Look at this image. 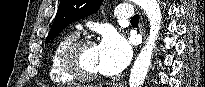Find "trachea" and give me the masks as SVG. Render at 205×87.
<instances>
[{"instance_id":"1","label":"trachea","mask_w":205,"mask_h":87,"mask_svg":"<svg viewBox=\"0 0 205 87\" xmlns=\"http://www.w3.org/2000/svg\"><path fill=\"white\" fill-rule=\"evenodd\" d=\"M131 22H139V15L136 14L135 16H133V18H131Z\"/></svg>"}]
</instances>
